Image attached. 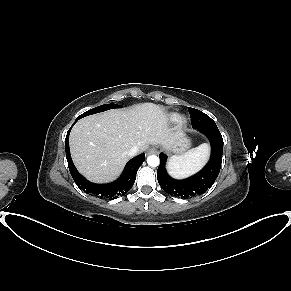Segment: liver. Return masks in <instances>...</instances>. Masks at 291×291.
Masks as SVG:
<instances>
[{"mask_svg": "<svg viewBox=\"0 0 291 291\" xmlns=\"http://www.w3.org/2000/svg\"><path fill=\"white\" fill-rule=\"evenodd\" d=\"M181 132H173L165 109L142 103L113 109L79 120L70 133V150L78 171L93 182H108L119 175L137 146L145 151L151 144L171 149Z\"/></svg>", "mask_w": 291, "mask_h": 291, "instance_id": "6515ba94", "label": "liver"}]
</instances>
